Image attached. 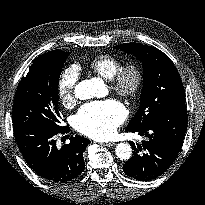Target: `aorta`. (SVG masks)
<instances>
[{"mask_svg": "<svg viewBox=\"0 0 205 205\" xmlns=\"http://www.w3.org/2000/svg\"><path fill=\"white\" fill-rule=\"evenodd\" d=\"M105 87L100 78H93L79 82L74 89V95L79 100H87L99 96ZM115 154L120 160H128L132 156V148L128 143H119Z\"/></svg>", "mask_w": 205, "mask_h": 205, "instance_id": "1", "label": "aorta"}]
</instances>
